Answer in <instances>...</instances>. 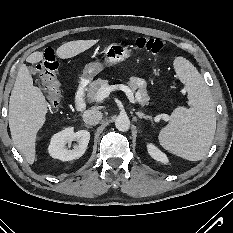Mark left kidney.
I'll return each instance as SVG.
<instances>
[{"instance_id":"5707ae66","label":"left kidney","mask_w":233,"mask_h":233,"mask_svg":"<svg viewBox=\"0 0 233 233\" xmlns=\"http://www.w3.org/2000/svg\"><path fill=\"white\" fill-rule=\"evenodd\" d=\"M147 150L153 159L160 161L164 164L168 163V158H167L166 154H164L162 151H160L153 144H151V143L147 144Z\"/></svg>"}]
</instances>
